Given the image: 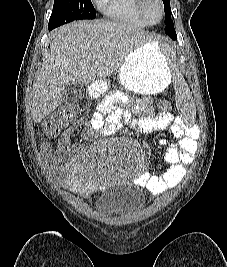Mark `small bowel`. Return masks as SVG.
<instances>
[{
  "mask_svg": "<svg viewBox=\"0 0 227 267\" xmlns=\"http://www.w3.org/2000/svg\"><path fill=\"white\" fill-rule=\"evenodd\" d=\"M125 102L119 93L113 92L106 96L93 112L90 120L82 119L66 129L60 137V153L55 156L47 144L43 145V154L51 164L61 160L64 171V183L74 193L88 195L95 191V183L88 181V169L80 153H74L69 146L73 133L81 130V136L86 140H95L100 136H108L120 127V116L128 119L129 114L119 109L118 104ZM133 112L146 113L130 120V125L137 132L150 134L160 130H169L177 139L171 142L166 139L160 141L163 166L155 175L141 174L138 183L146 187L151 193H163L175 188L183 180L186 169L184 164L194 160L197 152L195 132L187 129L181 118L165 111L150 110L140 103L130 104Z\"/></svg>",
  "mask_w": 227,
  "mask_h": 267,
  "instance_id": "1",
  "label": "small bowel"
}]
</instances>
